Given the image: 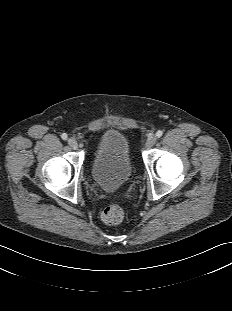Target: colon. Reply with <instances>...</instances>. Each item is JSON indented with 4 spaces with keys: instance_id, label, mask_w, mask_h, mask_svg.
I'll use <instances>...</instances> for the list:
<instances>
[{
    "instance_id": "1",
    "label": "colon",
    "mask_w": 232,
    "mask_h": 311,
    "mask_svg": "<svg viewBox=\"0 0 232 311\" xmlns=\"http://www.w3.org/2000/svg\"><path fill=\"white\" fill-rule=\"evenodd\" d=\"M123 217V209L116 204L109 205L101 213L102 220L109 225L119 224L123 220Z\"/></svg>"
}]
</instances>
